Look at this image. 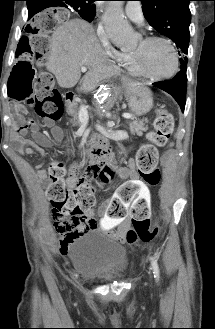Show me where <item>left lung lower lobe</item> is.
<instances>
[{
  "label": "left lung lower lobe",
  "instance_id": "obj_1",
  "mask_svg": "<svg viewBox=\"0 0 215 329\" xmlns=\"http://www.w3.org/2000/svg\"><path fill=\"white\" fill-rule=\"evenodd\" d=\"M187 63L181 64V70L178 74L169 81H161L153 83L154 86L166 91L170 95L174 97V99L178 102L181 107L182 112H184L185 107V93H186V86H187Z\"/></svg>",
  "mask_w": 215,
  "mask_h": 329
}]
</instances>
